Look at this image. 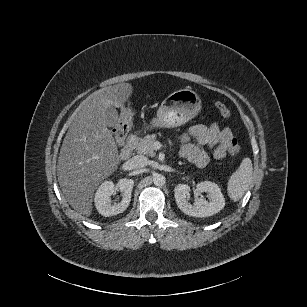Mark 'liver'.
Here are the masks:
<instances>
[{
    "instance_id": "1",
    "label": "liver",
    "mask_w": 307,
    "mask_h": 307,
    "mask_svg": "<svg viewBox=\"0 0 307 307\" xmlns=\"http://www.w3.org/2000/svg\"><path fill=\"white\" fill-rule=\"evenodd\" d=\"M131 89L127 83L100 89L83 100L71 119L61 146L57 175L65 198L83 215L91 213L95 187L119 160L113 135L107 128L118 122V114L108 107L122 106Z\"/></svg>"
}]
</instances>
